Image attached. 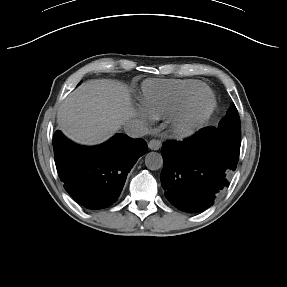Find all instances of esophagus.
Masks as SVG:
<instances>
[{"label":"esophagus","mask_w":287,"mask_h":287,"mask_svg":"<svg viewBox=\"0 0 287 287\" xmlns=\"http://www.w3.org/2000/svg\"><path fill=\"white\" fill-rule=\"evenodd\" d=\"M148 147L151 150H159L160 147H161V141H159L157 139H152V140L149 141Z\"/></svg>","instance_id":"34e87169"}]
</instances>
